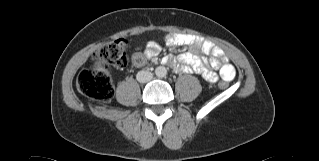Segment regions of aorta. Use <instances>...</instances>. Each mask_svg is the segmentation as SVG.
<instances>
[{
	"label": "aorta",
	"mask_w": 319,
	"mask_h": 161,
	"mask_svg": "<svg viewBox=\"0 0 319 161\" xmlns=\"http://www.w3.org/2000/svg\"><path fill=\"white\" fill-rule=\"evenodd\" d=\"M155 74L157 77L159 78H163L167 75V70L164 66H158L156 69H155Z\"/></svg>",
	"instance_id": "obj_1"
}]
</instances>
